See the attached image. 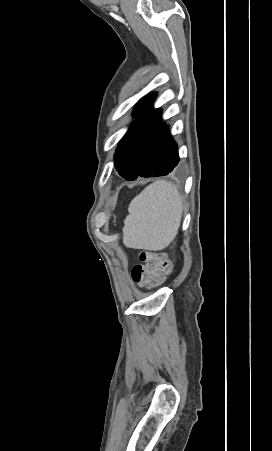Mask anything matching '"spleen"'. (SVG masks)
<instances>
[{"label": "spleen", "mask_w": 272, "mask_h": 451, "mask_svg": "<svg viewBox=\"0 0 272 451\" xmlns=\"http://www.w3.org/2000/svg\"><path fill=\"white\" fill-rule=\"evenodd\" d=\"M123 243L134 249H164L178 233L182 218L181 196L174 184L156 180L129 204Z\"/></svg>", "instance_id": "obj_1"}]
</instances>
